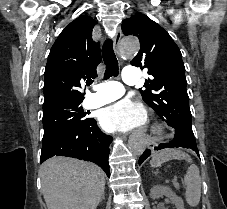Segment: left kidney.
I'll return each mask as SVG.
<instances>
[{
    "instance_id": "5707ae66",
    "label": "left kidney",
    "mask_w": 227,
    "mask_h": 209,
    "mask_svg": "<svg viewBox=\"0 0 227 209\" xmlns=\"http://www.w3.org/2000/svg\"><path fill=\"white\" fill-rule=\"evenodd\" d=\"M162 195H165V197H168L170 199L171 203L175 205V209H184V203L181 199V197H177L169 187H163V185H155L153 189H150V197L151 199H159V197H162Z\"/></svg>"
}]
</instances>
